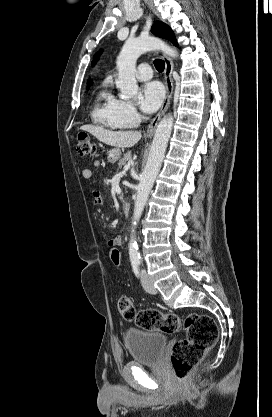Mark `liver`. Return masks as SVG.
I'll return each mask as SVG.
<instances>
[{"instance_id":"1","label":"liver","mask_w":272,"mask_h":417,"mask_svg":"<svg viewBox=\"0 0 272 417\" xmlns=\"http://www.w3.org/2000/svg\"><path fill=\"white\" fill-rule=\"evenodd\" d=\"M80 129L89 132L107 145L119 148L133 147L142 136L139 131H111L94 125H83Z\"/></svg>"}]
</instances>
